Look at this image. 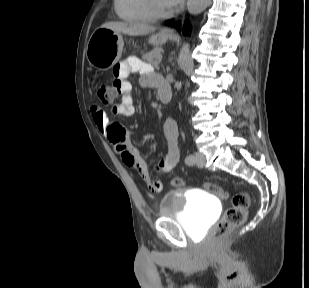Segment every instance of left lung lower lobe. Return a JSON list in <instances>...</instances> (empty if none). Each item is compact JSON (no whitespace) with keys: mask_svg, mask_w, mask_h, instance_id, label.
Masks as SVG:
<instances>
[{"mask_svg":"<svg viewBox=\"0 0 309 288\" xmlns=\"http://www.w3.org/2000/svg\"><path fill=\"white\" fill-rule=\"evenodd\" d=\"M166 24H168V25H173V23H172V21H168V22H166ZM176 27H177V29L180 31V26L179 25H176ZM189 27L187 26V25H185L184 27H183V29H182V31H183V33L186 35V34H188L189 33Z\"/></svg>","mask_w":309,"mask_h":288,"instance_id":"obj_1","label":"left lung lower lobe"}]
</instances>
